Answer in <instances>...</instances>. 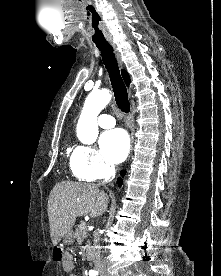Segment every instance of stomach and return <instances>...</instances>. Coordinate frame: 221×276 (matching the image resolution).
I'll use <instances>...</instances> for the list:
<instances>
[{
  "instance_id": "obj_1",
  "label": "stomach",
  "mask_w": 221,
  "mask_h": 276,
  "mask_svg": "<svg viewBox=\"0 0 221 276\" xmlns=\"http://www.w3.org/2000/svg\"><path fill=\"white\" fill-rule=\"evenodd\" d=\"M63 243L65 245H71L74 243V233L73 231H70L63 237Z\"/></svg>"
}]
</instances>
